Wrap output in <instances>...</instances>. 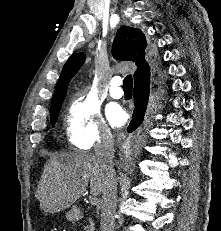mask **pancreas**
<instances>
[{
	"instance_id": "1",
	"label": "pancreas",
	"mask_w": 221,
	"mask_h": 231,
	"mask_svg": "<svg viewBox=\"0 0 221 231\" xmlns=\"http://www.w3.org/2000/svg\"><path fill=\"white\" fill-rule=\"evenodd\" d=\"M86 231H91V226L90 227H86Z\"/></svg>"
}]
</instances>
